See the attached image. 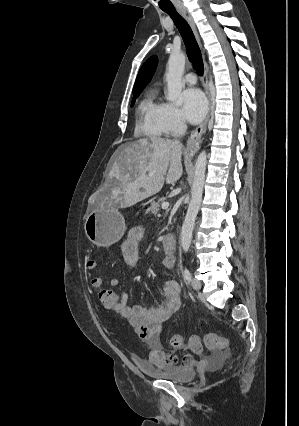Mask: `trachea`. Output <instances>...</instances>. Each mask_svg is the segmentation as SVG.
<instances>
[{"instance_id":"3493384b","label":"trachea","mask_w":299,"mask_h":426,"mask_svg":"<svg viewBox=\"0 0 299 426\" xmlns=\"http://www.w3.org/2000/svg\"><path fill=\"white\" fill-rule=\"evenodd\" d=\"M163 11L172 18L175 26L182 36L190 61L195 66L198 75L202 76L204 73V66L201 51L190 26L186 20L178 14L174 7L163 9Z\"/></svg>"}]
</instances>
